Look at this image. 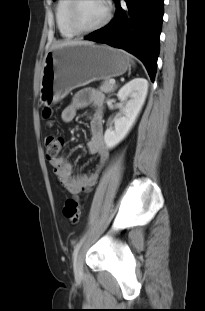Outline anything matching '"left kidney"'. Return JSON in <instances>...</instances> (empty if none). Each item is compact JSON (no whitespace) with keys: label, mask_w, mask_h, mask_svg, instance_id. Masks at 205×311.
<instances>
[{"label":"left kidney","mask_w":205,"mask_h":311,"mask_svg":"<svg viewBox=\"0 0 205 311\" xmlns=\"http://www.w3.org/2000/svg\"><path fill=\"white\" fill-rule=\"evenodd\" d=\"M147 92L148 81L144 78H134L118 91L117 97L124 103L123 116L115 117L114 128L105 131L104 141L108 149L114 148L127 136L144 105Z\"/></svg>","instance_id":"1"}]
</instances>
